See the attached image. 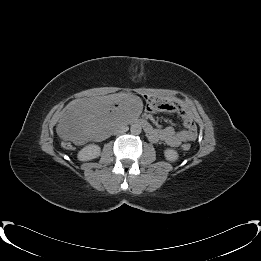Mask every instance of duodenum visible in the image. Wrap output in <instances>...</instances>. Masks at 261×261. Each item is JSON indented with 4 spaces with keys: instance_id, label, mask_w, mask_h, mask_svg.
I'll use <instances>...</instances> for the list:
<instances>
[{
    "instance_id": "duodenum-1",
    "label": "duodenum",
    "mask_w": 261,
    "mask_h": 261,
    "mask_svg": "<svg viewBox=\"0 0 261 261\" xmlns=\"http://www.w3.org/2000/svg\"><path fill=\"white\" fill-rule=\"evenodd\" d=\"M137 124H139L141 127H143V129L145 130V132L148 134L152 131V127L151 125L148 123L147 120L145 119H139L137 120Z\"/></svg>"
}]
</instances>
